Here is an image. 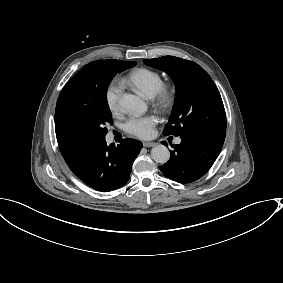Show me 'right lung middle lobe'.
<instances>
[{
	"mask_svg": "<svg viewBox=\"0 0 283 283\" xmlns=\"http://www.w3.org/2000/svg\"><path fill=\"white\" fill-rule=\"evenodd\" d=\"M133 61H115L108 65L97 85L67 100L64 115L67 122L79 132L96 140H104L108 132L106 123H112L107 103V88L119 72L135 66Z\"/></svg>",
	"mask_w": 283,
	"mask_h": 283,
	"instance_id": "right-lung-middle-lobe-1",
	"label": "right lung middle lobe"
}]
</instances>
